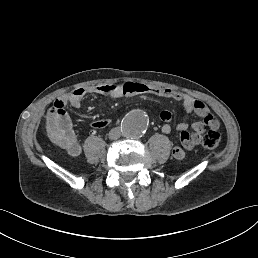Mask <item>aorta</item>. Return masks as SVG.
<instances>
[{
	"mask_svg": "<svg viewBox=\"0 0 258 258\" xmlns=\"http://www.w3.org/2000/svg\"><path fill=\"white\" fill-rule=\"evenodd\" d=\"M149 124V118L143 110L136 109L128 113L122 120L121 129L125 137L136 139L141 137Z\"/></svg>",
	"mask_w": 258,
	"mask_h": 258,
	"instance_id": "1",
	"label": "aorta"
}]
</instances>
